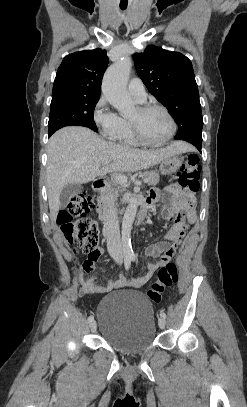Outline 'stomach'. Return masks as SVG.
I'll return each instance as SVG.
<instances>
[{"mask_svg": "<svg viewBox=\"0 0 247 407\" xmlns=\"http://www.w3.org/2000/svg\"><path fill=\"white\" fill-rule=\"evenodd\" d=\"M182 163L183 158L179 154L168 156L160 163V173L163 175H171L181 167Z\"/></svg>", "mask_w": 247, "mask_h": 407, "instance_id": "0dacf381", "label": "stomach"}]
</instances>
